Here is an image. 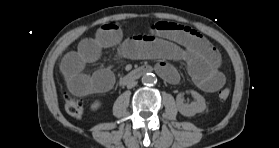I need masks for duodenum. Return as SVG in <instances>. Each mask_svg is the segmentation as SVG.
<instances>
[{
	"label": "duodenum",
	"mask_w": 279,
	"mask_h": 148,
	"mask_svg": "<svg viewBox=\"0 0 279 148\" xmlns=\"http://www.w3.org/2000/svg\"><path fill=\"white\" fill-rule=\"evenodd\" d=\"M153 69L152 67L150 66H141V67H138L132 71H130L129 73H127L122 81L124 83H127V82H130V81H133V80H137L139 78H141L142 76L146 75L147 73L151 72Z\"/></svg>",
	"instance_id": "duodenum-1"
}]
</instances>
